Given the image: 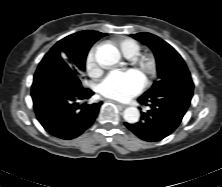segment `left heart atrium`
<instances>
[{"mask_svg":"<svg viewBox=\"0 0 222 187\" xmlns=\"http://www.w3.org/2000/svg\"><path fill=\"white\" fill-rule=\"evenodd\" d=\"M144 87V77L138 70H114L99 84V92L104 97L126 102L138 95Z\"/></svg>","mask_w":222,"mask_h":187,"instance_id":"left-heart-atrium-1","label":"left heart atrium"}]
</instances>
